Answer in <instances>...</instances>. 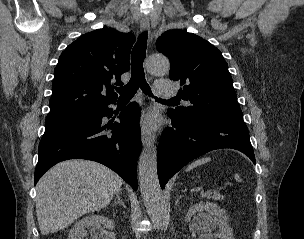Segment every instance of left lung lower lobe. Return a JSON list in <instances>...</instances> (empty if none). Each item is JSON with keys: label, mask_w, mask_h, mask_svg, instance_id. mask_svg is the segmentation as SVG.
<instances>
[{"label": "left lung lower lobe", "mask_w": 304, "mask_h": 239, "mask_svg": "<svg viewBox=\"0 0 304 239\" xmlns=\"http://www.w3.org/2000/svg\"><path fill=\"white\" fill-rule=\"evenodd\" d=\"M172 126L167 127L157 151V172L161 188L191 160L215 149L232 148L246 154L255 164V156L244 121L207 119L193 122L180 119L168 110Z\"/></svg>", "instance_id": "0a47b994"}]
</instances>
